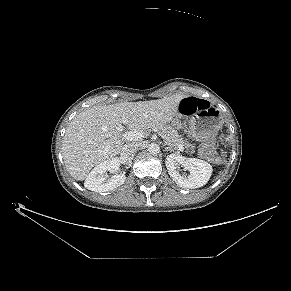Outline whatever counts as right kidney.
I'll use <instances>...</instances> for the list:
<instances>
[{"instance_id": "1", "label": "right kidney", "mask_w": 291, "mask_h": 291, "mask_svg": "<svg viewBox=\"0 0 291 291\" xmlns=\"http://www.w3.org/2000/svg\"><path fill=\"white\" fill-rule=\"evenodd\" d=\"M120 165L118 158H112L100 163L89 173L84 186L91 191L99 193L114 190L125 182L126 176L124 174H115L109 178L107 171L117 172Z\"/></svg>"}]
</instances>
